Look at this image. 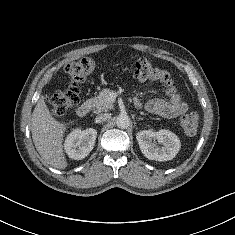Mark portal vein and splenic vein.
<instances>
[{
  "mask_svg": "<svg viewBox=\"0 0 235 235\" xmlns=\"http://www.w3.org/2000/svg\"><path fill=\"white\" fill-rule=\"evenodd\" d=\"M115 97H116V95L114 93H112V94H110L109 100L113 102L115 100Z\"/></svg>",
  "mask_w": 235,
  "mask_h": 235,
  "instance_id": "18ae733b",
  "label": "portal vein and splenic vein"
}]
</instances>
